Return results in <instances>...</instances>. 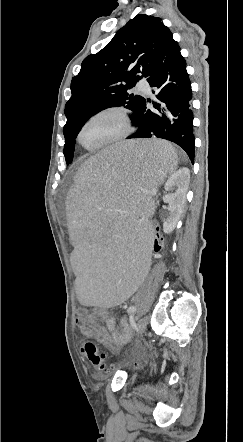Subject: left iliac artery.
<instances>
[{
    "mask_svg": "<svg viewBox=\"0 0 243 442\" xmlns=\"http://www.w3.org/2000/svg\"><path fill=\"white\" fill-rule=\"evenodd\" d=\"M127 312H128L129 314H131V315H134L135 312H136V307H135V306H130V307L127 309ZM132 326H133L134 330L137 332V330H138V326L135 325V323H134Z\"/></svg>",
    "mask_w": 243,
    "mask_h": 442,
    "instance_id": "obj_1",
    "label": "left iliac artery"
}]
</instances>
